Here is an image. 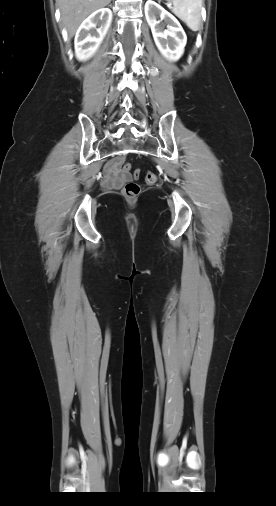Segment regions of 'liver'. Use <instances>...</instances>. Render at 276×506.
Instances as JSON below:
<instances>
[{"instance_id": "6515ba94", "label": "liver", "mask_w": 276, "mask_h": 506, "mask_svg": "<svg viewBox=\"0 0 276 506\" xmlns=\"http://www.w3.org/2000/svg\"><path fill=\"white\" fill-rule=\"evenodd\" d=\"M111 0H58L61 20L69 37H73L81 22L91 13L107 6Z\"/></svg>"}]
</instances>
